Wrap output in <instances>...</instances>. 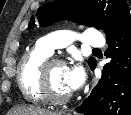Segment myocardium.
<instances>
[{"instance_id":"obj_1","label":"myocardium","mask_w":131,"mask_h":115,"mask_svg":"<svg viewBox=\"0 0 131 115\" xmlns=\"http://www.w3.org/2000/svg\"><path fill=\"white\" fill-rule=\"evenodd\" d=\"M53 65L65 66L66 62L59 58H50L45 60L41 64L38 72V90L44 101L53 105H62L67 103L72 96L67 95L65 97H56L50 93L47 82V72Z\"/></svg>"}]
</instances>
